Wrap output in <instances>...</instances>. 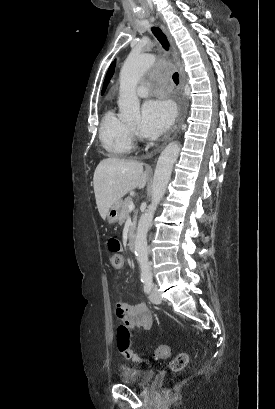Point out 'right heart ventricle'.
Returning a JSON list of instances; mask_svg holds the SVG:
<instances>
[{
	"label": "right heart ventricle",
	"instance_id": "obj_1",
	"mask_svg": "<svg viewBox=\"0 0 275 409\" xmlns=\"http://www.w3.org/2000/svg\"><path fill=\"white\" fill-rule=\"evenodd\" d=\"M99 140L103 149L112 157L128 155L132 150V137L129 126L113 110L102 117Z\"/></svg>",
	"mask_w": 275,
	"mask_h": 409
}]
</instances>
